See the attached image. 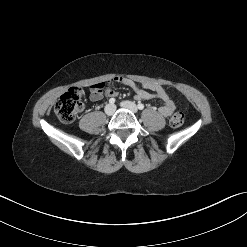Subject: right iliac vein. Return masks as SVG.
<instances>
[{"mask_svg":"<svg viewBox=\"0 0 247 247\" xmlns=\"http://www.w3.org/2000/svg\"><path fill=\"white\" fill-rule=\"evenodd\" d=\"M115 110H116V108H115V106L113 104L106 105L105 109H104L106 115H108V116L113 115Z\"/></svg>","mask_w":247,"mask_h":247,"instance_id":"1","label":"right iliac vein"}]
</instances>
